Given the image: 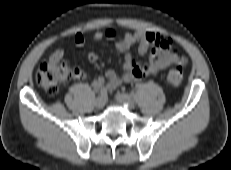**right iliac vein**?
Returning <instances> with one entry per match:
<instances>
[{"mask_svg":"<svg viewBox=\"0 0 231 170\" xmlns=\"http://www.w3.org/2000/svg\"><path fill=\"white\" fill-rule=\"evenodd\" d=\"M94 104L97 109H102L105 105V100L102 97H98L96 98Z\"/></svg>","mask_w":231,"mask_h":170,"instance_id":"1","label":"right iliac vein"}]
</instances>
